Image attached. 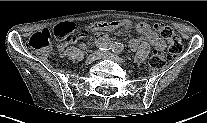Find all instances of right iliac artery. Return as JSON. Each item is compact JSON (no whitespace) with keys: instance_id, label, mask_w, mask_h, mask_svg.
Returning <instances> with one entry per match:
<instances>
[{"instance_id":"obj_1","label":"right iliac artery","mask_w":207,"mask_h":123,"mask_svg":"<svg viewBox=\"0 0 207 123\" xmlns=\"http://www.w3.org/2000/svg\"><path fill=\"white\" fill-rule=\"evenodd\" d=\"M115 43H111V42H105V43H102V44H99L98 45V50L99 51H107V50H110L113 48Z\"/></svg>"}]
</instances>
